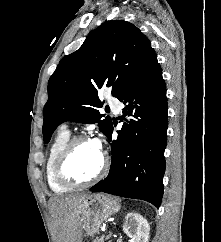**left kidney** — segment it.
Instances as JSON below:
<instances>
[{"label":"left kidney","instance_id":"obj_1","mask_svg":"<svg viewBox=\"0 0 221 242\" xmlns=\"http://www.w3.org/2000/svg\"><path fill=\"white\" fill-rule=\"evenodd\" d=\"M124 233L134 242H148L150 226L148 221L138 213H128L123 225Z\"/></svg>","mask_w":221,"mask_h":242}]
</instances>
